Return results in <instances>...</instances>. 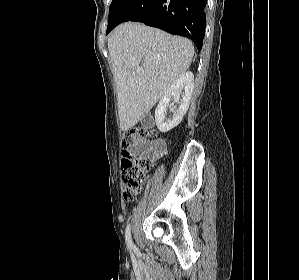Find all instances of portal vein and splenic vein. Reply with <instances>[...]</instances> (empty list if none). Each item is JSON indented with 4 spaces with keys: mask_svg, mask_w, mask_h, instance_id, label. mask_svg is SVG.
<instances>
[{
    "mask_svg": "<svg viewBox=\"0 0 299 280\" xmlns=\"http://www.w3.org/2000/svg\"><path fill=\"white\" fill-rule=\"evenodd\" d=\"M138 72H139L140 74H142L144 71H143L142 68H139V69H138Z\"/></svg>",
    "mask_w": 299,
    "mask_h": 280,
    "instance_id": "18ae733b",
    "label": "portal vein and splenic vein"
}]
</instances>
